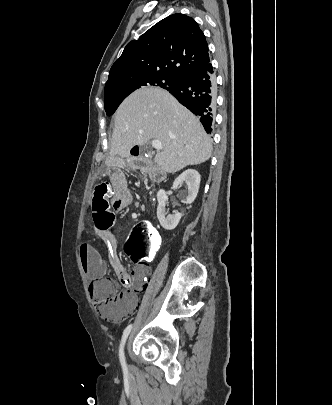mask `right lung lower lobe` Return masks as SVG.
I'll use <instances>...</instances> for the list:
<instances>
[{"label": "right lung lower lobe", "instance_id": "98d812e1", "mask_svg": "<svg viewBox=\"0 0 332 405\" xmlns=\"http://www.w3.org/2000/svg\"><path fill=\"white\" fill-rule=\"evenodd\" d=\"M181 104L200 117L207 133L212 132L216 83L211 63L188 72L180 82L167 89Z\"/></svg>", "mask_w": 332, "mask_h": 405}]
</instances>
